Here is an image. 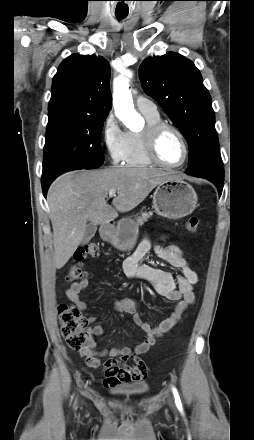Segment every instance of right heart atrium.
Listing matches in <instances>:
<instances>
[{
  "label": "right heart atrium",
  "instance_id": "1",
  "mask_svg": "<svg viewBox=\"0 0 254 440\" xmlns=\"http://www.w3.org/2000/svg\"><path fill=\"white\" fill-rule=\"evenodd\" d=\"M103 141L111 161L115 164L125 160L129 142V132L124 130L113 114L103 123Z\"/></svg>",
  "mask_w": 254,
  "mask_h": 440
}]
</instances>
